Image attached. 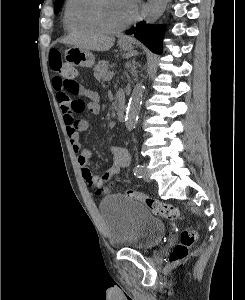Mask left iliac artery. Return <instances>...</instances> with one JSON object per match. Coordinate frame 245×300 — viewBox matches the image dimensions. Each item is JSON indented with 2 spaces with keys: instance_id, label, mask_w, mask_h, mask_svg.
<instances>
[{
  "instance_id": "obj_1",
  "label": "left iliac artery",
  "mask_w": 245,
  "mask_h": 300,
  "mask_svg": "<svg viewBox=\"0 0 245 300\" xmlns=\"http://www.w3.org/2000/svg\"><path fill=\"white\" fill-rule=\"evenodd\" d=\"M142 168L143 166L142 165H136L135 168H134V175L138 178H142Z\"/></svg>"
}]
</instances>
